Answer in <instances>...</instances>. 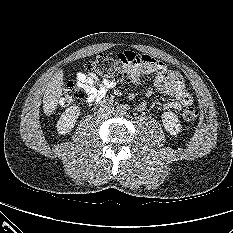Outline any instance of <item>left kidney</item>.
Returning a JSON list of instances; mask_svg holds the SVG:
<instances>
[{
    "instance_id": "left-kidney-1",
    "label": "left kidney",
    "mask_w": 233,
    "mask_h": 233,
    "mask_svg": "<svg viewBox=\"0 0 233 233\" xmlns=\"http://www.w3.org/2000/svg\"><path fill=\"white\" fill-rule=\"evenodd\" d=\"M162 122L165 130L169 132L171 135H177L181 132V124L179 123L178 116L171 111L164 112L162 114Z\"/></svg>"
}]
</instances>
